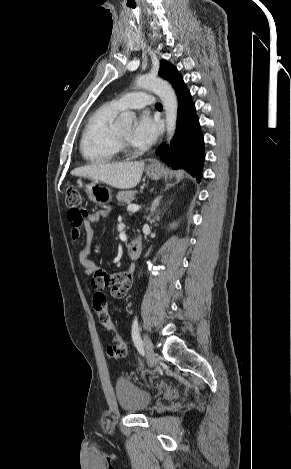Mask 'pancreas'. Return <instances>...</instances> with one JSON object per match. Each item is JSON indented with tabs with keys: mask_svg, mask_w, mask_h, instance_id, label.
<instances>
[{
	"mask_svg": "<svg viewBox=\"0 0 291 469\" xmlns=\"http://www.w3.org/2000/svg\"><path fill=\"white\" fill-rule=\"evenodd\" d=\"M135 195L136 191H120L118 192L116 198L120 203L125 202L127 204H130V202L134 200Z\"/></svg>",
	"mask_w": 291,
	"mask_h": 469,
	"instance_id": "obj_1",
	"label": "pancreas"
}]
</instances>
